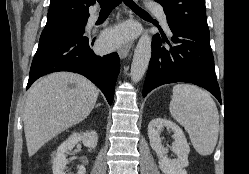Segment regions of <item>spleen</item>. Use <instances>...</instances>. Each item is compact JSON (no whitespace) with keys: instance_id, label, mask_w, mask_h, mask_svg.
Masks as SVG:
<instances>
[{"instance_id":"obj_1","label":"spleen","mask_w":249,"mask_h":174,"mask_svg":"<svg viewBox=\"0 0 249 174\" xmlns=\"http://www.w3.org/2000/svg\"><path fill=\"white\" fill-rule=\"evenodd\" d=\"M169 109L188 132L194 149L202 156L211 155L218 140L219 114L209 93L194 85L177 84Z\"/></svg>"}]
</instances>
